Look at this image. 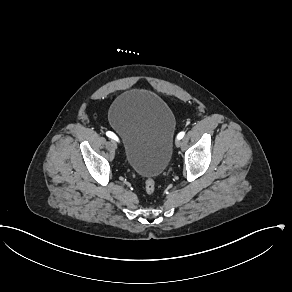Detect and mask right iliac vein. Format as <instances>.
Listing matches in <instances>:
<instances>
[{
  "instance_id": "63e3f726",
  "label": "right iliac vein",
  "mask_w": 292,
  "mask_h": 292,
  "mask_svg": "<svg viewBox=\"0 0 292 292\" xmlns=\"http://www.w3.org/2000/svg\"><path fill=\"white\" fill-rule=\"evenodd\" d=\"M110 144H111V146H112L114 149L117 148V144H116V142H115L114 140H111Z\"/></svg>"
}]
</instances>
